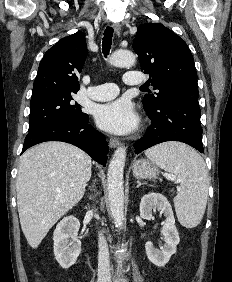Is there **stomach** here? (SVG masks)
I'll use <instances>...</instances> for the list:
<instances>
[{"mask_svg": "<svg viewBox=\"0 0 232 282\" xmlns=\"http://www.w3.org/2000/svg\"><path fill=\"white\" fill-rule=\"evenodd\" d=\"M158 173L157 166L148 160H139L133 166V175L138 179H153Z\"/></svg>", "mask_w": 232, "mask_h": 282, "instance_id": "0dacf381", "label": "stomach"}]
</instances>
